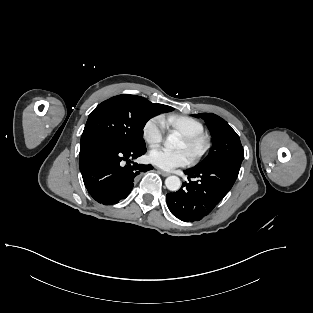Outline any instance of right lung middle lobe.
Instances as JSON below:
<instances>
[{
    "label": "right lung middle lobe",
    "mask_w": 313,
    "mask_h": 313,
    "mask_svg": "<svg viewBox=\"0 0 313 313\" xmlns=\"http://www.w3.org/2000/svg\"><path fill=\"white\" fill-rule=\"evenodd\" d=\"M172 110L174 108H164L140 96L123 94L112 97L90 113L80 142L103 136L128 146L145 145L143 128L146 122Z\"/></svg>",
    "instance_id": "right-lung-middle-lobe-1"
}]
</instances>
